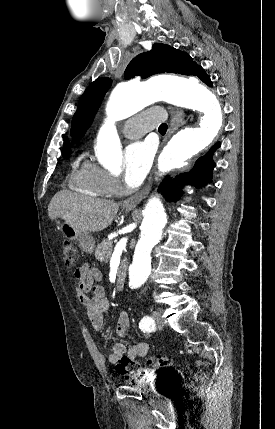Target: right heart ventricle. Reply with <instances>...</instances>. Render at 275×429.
Listing matches in <instances>:
<instances>
[{
    "mask_svg": "<svg viewBox=\"0 0 275 429\" xmlns=\"http://www.w3.org/2000/svg\"><path fill=\"white\" fill-rule=\"evenodd\" d=\"M105 171L90 160H84L72 172L70 185L73 189L94 197H107L111 193L104 181Z\"/></svg>",
    "mask_w": 275,
    "mask_h": 429,
    "instance_id": "obj_1",
    "label": "right heart ventricle"
}]
</instances>
